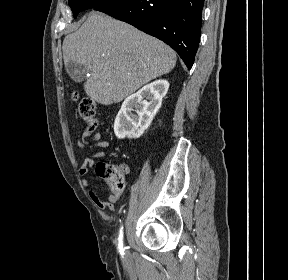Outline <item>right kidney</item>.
I'll list each match as a JSON object with an SVG mask.
<instances>
[{
    "label": "right kidney",
    "instance_id": "right-kidney-1",
    "mask_svg": "<svg viewBox=\"0 0 288 280\" xmlns=\"http://www.w3.org/2000/svg\"><path fill=\"white\" fill-rule=\"evenodd\" d=\"M168 89L167 80H156L127 97L114 122L115 135L118 138H139L160 109Z\"/></svg>",
    "mask_w": 288,
    "mask_h": 280
}]
</instances>
